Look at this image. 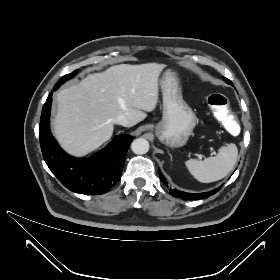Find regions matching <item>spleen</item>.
I'll return each instance as SVG.
<instances>
[{"instance_id": "1", "label": "spleen", "mask_w": 280, "mask_h": 280, "mask_svg": "<svg viewBox=\"0 0 280 280\" xmlns=\"http://www.w3.org/2000/svg\"><path fill=\"white\" fill-rule=\"evenodd\" d=\"M238 157V150L234 143L223 146L216 156L203 161L190 159L185 162L189 172L202 183L218 181L229 174Z\"/></svg>"}]
</instances>
